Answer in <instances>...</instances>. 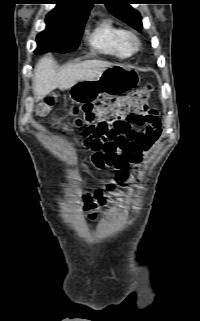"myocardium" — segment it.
<instances>
[{
	"instance_id": "obj_1",
	"label": "myocardium",
	"mask_w": 200,
	"mask_h": 321,
	"mask_svg": "<svg viewBox=\"0 0 200 321\" xmlns=\"http://www.w3.org/2000/svg\"><path fill=\"white\" fill-rule=\"evenodd\" d=\"M125 44L131 53H135L141 48V41L139 37L133 32H127L125 37Z\"/></svg>"
}]
</instances>
